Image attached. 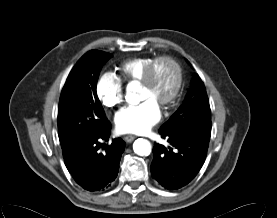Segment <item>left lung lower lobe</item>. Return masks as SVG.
<instances>
[{
    "label": "left lung lower lobe",
    "instance_id": "0a47b994",
    "mask_svg": "<svg viewBox=\"0 0 277 218\" xmlns=\"http://www.w3.org/2000/svg\"><path fill=\"white\" fill-rule=\"evenodd\" d=\"M159 133L171 146L153 148L151 174L168 190L187 185L205 162L211 129L165 128Z\"/></svg>",
    "mask_w": 277,
    "mask_h": 218
}]
</instances>
